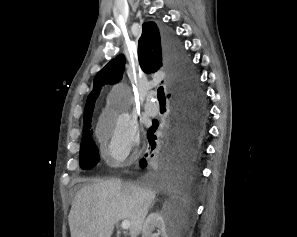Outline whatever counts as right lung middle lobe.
<instances>
[{
	"label": "right lung middle lobe",
	"instance_id": "obj_1",
	"mask_svg": "<svg viewBox=\"0 0 297 237\" xmlns=\"http://www.w3.org/2000/svg\"><path fill=\"white\" fill-rule=\"evenodd\" d=\"M99 161L98 150L92 140L90 125L84 128V136L80 148V165L83 169L92 168Z\"/></svg>",
	"mask_w": 297,
	"mask_h": 237
}]
</instances>
